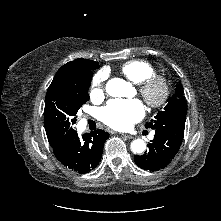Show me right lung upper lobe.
I'll use <instances>...</instances> for the list:
<instances>
[{"label": "right lung upper lobe", "mask_w": 221, "mask_h": 221, "mask_svg": "<svg viewBox=\"0 0 221 221\" xmlns=\"http://www.w3.org/2000/svg\"><path fill=\"white\" fill-rule=\"evenodd\" d=\"M99 64L88 59H75L63 65L56 73L51 85L71 84L80 73L92 74Z\"/></svg>", "instance_id": "cb5924a9"}]
</instances>
